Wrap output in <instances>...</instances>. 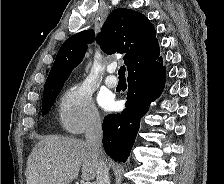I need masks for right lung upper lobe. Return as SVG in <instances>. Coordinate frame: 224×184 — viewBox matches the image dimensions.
Here are the masks:
<instances>
[{"mask_svg": "<svg viewBox=\"0 0 224 184\" xmlns=\"http://www.w3.org/2000/svg\"><path fill=\"white\" fill-rule=\"evenodd\" d=\"M87 30L69 37L60 47L44 86L43 95L62 88L71 71L83 60L87 45L94 40ZM97 43L107 54L126 53L123 57L128 76L162 62L156 30L149 19L134 10L117 8L108 16Z\"/></svg>", "mask_w": 224, "mask_h": 184, "instance_id": "1", "label": "right lung upper lobe"}]
</instances>
